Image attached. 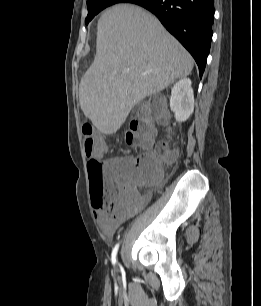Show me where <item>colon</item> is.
<instances>
[{
    "instance_id": "1",
    "label": "colon",
    "mask_w": 261,
    "mask_h": 306,
    "mask_svg": "<svg viewBox=\"0 0 261 306\" xmlns=\"http://www.w3.org/2000/svg\"><path fill=\"white\" fill-rule=\"evenodd\" d=\"M167 115L159 96L151 97L137 110L126 132L128 144L148 152L130 160H118L108 165L99 158L104 147L96 141L94 129L87 125L83 127V147L88 157L91 190L95 200L94 207L107 212L114 211L116 205L127 202L133 193V185L141 183H158L163 175L159 159L171 162L175 154L168 148L166 142H161L152 151L155 139V124H166Z\"/></svg>"
}]
</instances>
